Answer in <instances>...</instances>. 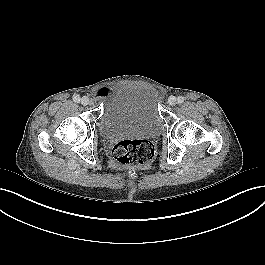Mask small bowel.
<instances>
[{
  "mask_svg": "<svg viewBox=\"0 0 265 265\" xmlns=\"http://www.w3.org/2000/svg\"><path fill=\"white\" fill-rule=\"evenodd\" d=\"M112 93V89L110 87H102L97 90L96 95L99 98H106Z\"/></svg>",
  "mask_w": 265,
  "mask_h": 265,
  "instance_id": "obj_1",
  "label": "small bowel"
}]
</instances>
